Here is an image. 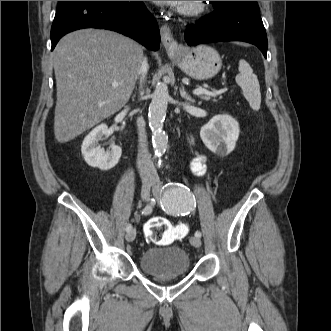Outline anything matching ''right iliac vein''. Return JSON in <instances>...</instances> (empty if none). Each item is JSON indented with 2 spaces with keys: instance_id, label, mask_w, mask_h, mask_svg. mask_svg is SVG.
Wrapping results in <instances>:
<instances>
[{
  "instance_id": "1",
  "label": "right iliac vein",
  "mask_w": 331,
  "mask_h": 331,
  "mask_svg": "<svg viewBox=\"0 0 331 331\" xmlns=\"http://www.w3.org/2000/svg\"><path fill=\"white\" fill-rule=\"evenodd\" d=\"M153 185V183L148 180V179H144L142 182V188H141V197L143 200H147L149 198L150 195V189L151 186ZM136 237V230L135 229H131L130 231L127 232L125 238L128 242H132Z\"/></svg>"
}]
</instances>
